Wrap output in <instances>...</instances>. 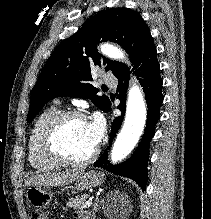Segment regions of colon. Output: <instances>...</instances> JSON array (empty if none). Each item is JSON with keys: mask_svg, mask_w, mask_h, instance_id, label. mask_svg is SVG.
Masks as SVG:
<instances>
[{"mask_svg": "<svg viewBox=\"0 0 211 219\" xmlns=\"http://www.w3.org/2000/svg\"><path fill=\"white\" fill-rule=\"evenodd\" d=\"M31 219H52V216L49 213L34 211L32 213Z\"/></svg>", "mask_w": 211, "mask_h": 219, "instance_id": "1", "label": "colon"}]
</instances>
